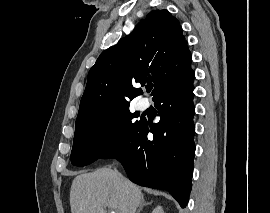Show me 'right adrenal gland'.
Here are the masks:
<instances>
[{
	"mask_svg": "<svg viewBox=\"0 0 270 213\" xmlns=\"http://www.w3.org/2000/svg\"><path fill=\"white\" fill-rule=\"evenodd\" d=\"M151 204H152V202H145L143 200L142 203L140 204V206H139V208H138V210H137L136 213H140L142 211V209H143L144 206L151 205Z\"/></svg>",
	"mask_w": 270,
	"mask_h": 213,
	"instance_id": "1",
	"label": "right adrenal gland"
}]
</instances>
